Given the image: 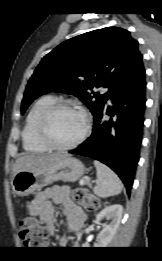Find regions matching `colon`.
I'll list each match as a JSON object with an SVG mask.
<instances>
[{
	"mask_svg": "<svg viewBox=\"0 0 162 261\" xmlns=\"http://www.w3.org/2000/svg\"><path fill=\"white\" fill-rule=\"evenodd\" d=\"M72 198L86 211L94 212L100 209L101 200L92 195L87 189L78 188L73 191ZM20 238L25 247L39 248L47 242V233L38 220L33 216H27L21 220L19 225Z\"/></svg>",
	"mask_w": 162,
	"mask_h": 261,
	"instance_id": "obj_1",
	"label": "colon"
}]
</instances>
